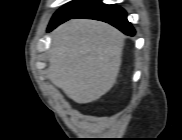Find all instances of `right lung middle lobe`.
I'll return each mask as SVG.
<instances>
[{
    "label": "right lung middle lobe",
    "instance_id": "right-lung-middle-lobe-1",
    "mask_svg": "<svg viewBox=\"0 0 182 140\" xmlns=\"http://www.w3.org/2000/svg\"><path fill=\"white\" fill-rule=\"evenodd\" d=\"M95 1L96 0H73L72 2L64 5L54 14L49 26L65 21L66 19L80 12Z\"/></svg>",
    "mask_w": 182,
    "mask_h": 140
}]
</instances>
